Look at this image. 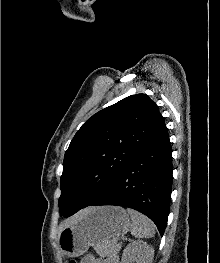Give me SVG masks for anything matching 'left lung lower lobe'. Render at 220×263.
<instances>
[{
    "label": "left lung lower lobe",
    "instance_id": "obj_1",
    "mask_svg": "<svg viewBox=\"0 0 220 263\" xmlns=\"http://www.w3.org/2000/svg\"><path fill=\"white\" fill-rule=\"evenodd\" d=\"M172 171L171 144L163 124L136 151L111 185L88 206L116 205L135 209L148 216L163 236L170 208Z\"/></svg>",
    "mask_w": 220,
    "mask_h": 263
}]
</instances>
